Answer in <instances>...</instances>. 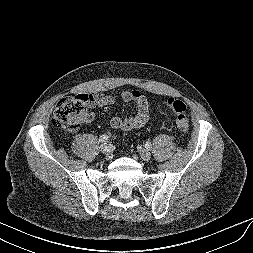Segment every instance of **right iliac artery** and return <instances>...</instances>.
Instances as JSON below:
<instances>
[{"label":"right iliac artery","mask_w":253,"mask_h":253,"mask_svg":"<svg viewBox=\"0 0 253 253\" xmlns=\"http://www.w3.org/2000/svg\"><path fill=\"white\" fill-rule=\"evenodd\" d=\"M108 138H109V136L106 135V134H104V135H101V136H100L99 141H100L101 143H105V142H107Z\"/></svg>","instance_id":"right-iliac-artery-1"}]
</instances>
